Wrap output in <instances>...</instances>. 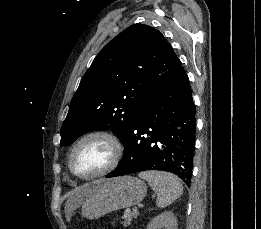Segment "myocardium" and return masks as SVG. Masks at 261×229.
Listing matches in <instances>:
<instances>
[{
    "mask_svg": "<svg viewBox=\"0 0 261 229\" xmlns=\"http://www.w3.org/2000/svg\"><path fill=\"white\" fill-rule=\"evenodd\" d=\"M92 139H101L104 142H106L111 149V158L109 163L103 169L92 174H84L75 169L73 165V156L79 146ZM122 155H123V148L121 142L114 133L107 130L91 131L83 135L81 138H79L72 146L69 154V160H68L69 169L74 175L80 178L83 179L96 178L114 170L118 166L122 158Z\"/></svg>",
    "mask_w": 261,
    "mask_h": 229,
    "instance_id": "f54148a6",
    "label": "myocardium"
}]
</instances>
